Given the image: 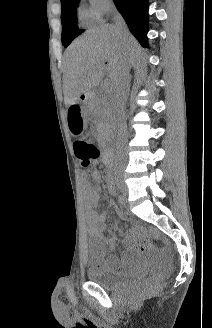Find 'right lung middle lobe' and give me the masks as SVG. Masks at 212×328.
<instances>
[{
	"mask_svg": "<svg viewBox=\"0 0 212 328\" xmlns=\"http://www.w3.org/2000/svg\"><path fill=\"white\" fill-rule=\"evenodd\" d=\"M80 0H61L62 43L67 47L84 30L78 29L76 7Z\"/></svg>",
	"mask_w": 212,
	"mask_h": 328,
	"instance_id": "1",
	"label": "right lung middle lobe"
}]
</instances>
